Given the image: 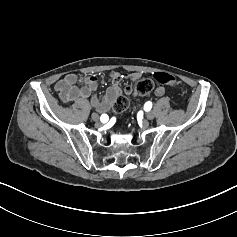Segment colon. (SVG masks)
<instances>
[{"mask_svg": "<svg viewBox=\"0 0 237 237\" xmlns=\"http://www.w3.org/2000/svg\"><path fill=\"white\" fill-rule=\"evenodd\" d=\"M154 78L160 84H169V85L177 84L176 78L165 72L155 73ZM153 88H154V82L150 78H143L136 82L134 89L132 90V95L135 97L143 96L149 94L153 90ZM128 106H129L128 97L125 95H121L114 102L113 109L117 113H122L128 108Z\"/></svg>", "mask_w": 237, "mask_h": 237, "instance_id": "colon-1", "label": "colon"}]
</instances>
